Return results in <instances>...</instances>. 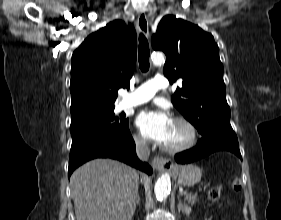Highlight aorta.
<instances>
[{"label": "aorta", "mask_w": 281, "mask_h": 220, "mask_svg": "<svg viewBox=\"0 0 281 220\" xmlns=\"http://www.w3.org/2000/svg\"><path fill=\"white\" fill-rule=\"evenodd\" d=\"M154 65H161L164 63L165 58L162 53H155L151 56ZM171 190V180L169 174H163L155 184V195L160 201L167 198Z\"/></svg>", "instance_id": "1"}]
</instances>
